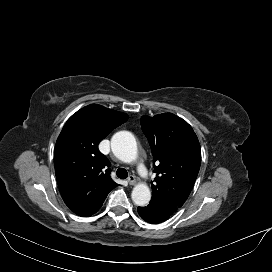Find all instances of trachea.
I'll use <instances>...</instances> for the list:
<instances>
[{
  "label": "trachea",
  "mask_w": 272,
  "mask_h": 272,
  "mask_svg": "<svg viewBox=\"0 0 272 272\" xmlns=\"http://www.w3.org/2000/svg\"><path fill=\"white\" fill-rule=\"evenodd\" d=\"M116 175L120 179H126L128 177V172L124 168H118L117 171H116Z\"/></svg>",
  "instance_id": "1"
}]
</instances>
